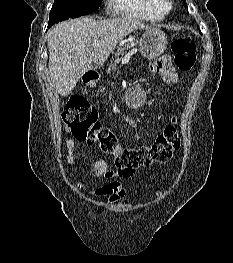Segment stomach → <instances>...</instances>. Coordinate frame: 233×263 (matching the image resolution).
<instances>
[{"label": "stomach", "mask_w": 233, "mask_h": 263, "mask_svg": "<svg viewBox=\"0 0 233 263\" xmlns=\"http://www.w3.org/2000/svg\"><path fill=\"white\" fill-rule=\"evenodd\" d=\"M167 47V37L157 28L147 29L139 40V50L148 60L159 57Z\"/></svg>", "instance_id": "0dacf381"}]
</instances>
